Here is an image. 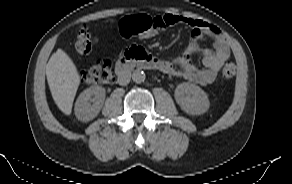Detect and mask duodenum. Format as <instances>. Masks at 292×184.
I'll return each mask as SVG.
<instances>
[{
  "label": "duodenum",
  "mask_w": 292,
  "mask_h": 184,
  "mask_svg": "<svg viewBox=\"0 0 292 184\" xmlns=\"http://www.w3.org/2000/svg\"><path fill=\"white\" fill-rule=\"evenodd\" d=\"M131 68L166 70L165 61L148 54L141 48H132L126 51L115 64V72L120 78L124 77Z\"/></svg>",
  "instance_id": "410a0bca"
}]
</instances>
